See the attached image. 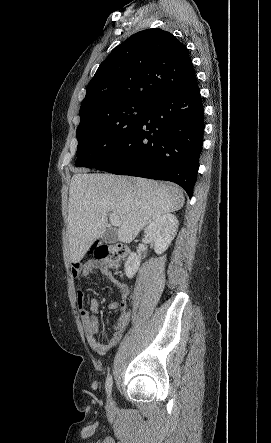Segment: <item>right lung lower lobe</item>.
Segmentation results:
<instances>
[{
	"label": "right lung lower lobe",
	"mask_w": 271,
	"mask_h": 443,
	"mask_svg": "<svg viewBox=\"0 0 271 443\" xmlns=\"http://www.w3.org/2000/svg\"><path fill=\"white\" fill-rule=\"evenodd\" d=\"M203 133V105L196 80L154 98L128 138L96 169L172 181L191 197Z\"/></svg>",
	"instance_id": "obj_1"
}]
</instances>
